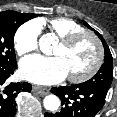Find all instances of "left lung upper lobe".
<instances>
[{
  "mask_svg": "<svg viewBox=\"0 0 117 117\" xmlns=\"http://www.w3.org/2000/svg\"><path fill=\"white\" fill-rule=\"evenodd\" d=\"M84 25L87 26L89 29H92L86 22H84ZM94 32L98 35V37L103 43V46L105 49V60H104L103 66L100 68L97 74L93 76L90 80L84 82V84L100 89L105 93H107L108 89L111 86L112 78H113L112 55L102 35L99 34L96 30H94Z\"/></svg>",
  "mask_w": 117,
  "mask_h": 117,
  "instance_id": "1",
  "label": "left lung upper lobe"
}]
</instances>
